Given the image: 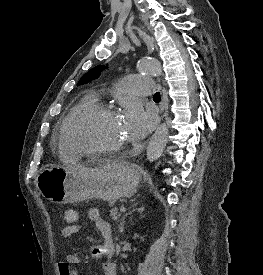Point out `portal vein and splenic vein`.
I'll list each match as a JSON object with an SVG mask.
<instances>
[{"instance_id": "18ae733b", "label": "portal vein and splenic vein", "mask_w": 263, "mask_h": 275, "mask_svg": "<svg viewBox=\"0 0 263 275\" xmlns=\"http://www.w3.org/2000/svg\"><path fill=\"white\" fill-rule=\"evenodd\" d=\"M126 211V208L124 206H121L120 207V212H125Z\"/></svg>"}]
</instances>
